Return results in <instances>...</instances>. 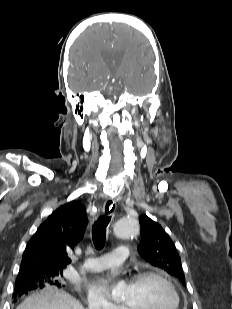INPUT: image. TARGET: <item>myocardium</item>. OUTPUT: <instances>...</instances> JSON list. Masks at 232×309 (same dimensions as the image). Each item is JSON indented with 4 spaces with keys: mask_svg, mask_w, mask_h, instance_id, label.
Here are the masks:
<instances>
[{
    "mask_svg": "<svg viewBox=\"0 0 232 309\" xmlns=\"http://www.w3.org/2000/svg\"><path fill=\"white\" fill-rule=\"evenodd\" d=\"M149 278H156L162 281L164 284L167 285L171 295L173 296L174 303L171 307V309H180L181 306V296L180 293L175 286V284L171 281V279L162 273L161 271L158 270H144L136 275H134L131 279V283H139L143 280L149 279ZM122 309H130L128 306L124 305Z\"/></svg>",
    "mask_w": 232,
    "mask_h": 309,
    "instance_id": "obj_1",
    "label": "myocardium"
}]
</instances>
